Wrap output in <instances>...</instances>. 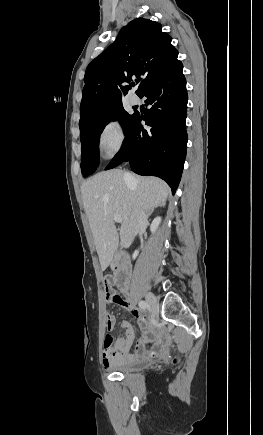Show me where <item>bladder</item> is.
Returning a JSON list of instances; mask_svg holds the SVG:
<instances>
[{"label": "bladder", "instance_id": "31cf9c89", "mask_svg": "<svg viewBox=\"0 0 263 435\" xmlns=\"http://www.w3.org/2000/svg\"><path fill=\"white\" fill-rule=\"evenodd\" d=\"M151 363L150 360H141L137 362L127 363L115 368L116 371L119 372H134L139 371L148 366Z\"/></svg>", "mask_w": 263, "mask_h": 435}]
</instances>
